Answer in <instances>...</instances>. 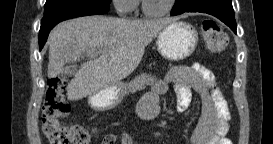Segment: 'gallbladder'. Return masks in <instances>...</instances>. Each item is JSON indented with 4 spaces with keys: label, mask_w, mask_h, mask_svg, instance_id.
<instances>
[{
    "label": "gallbladder",
    "mask_w": 273,
    "mask_h": 144,
    "mask_svg": "<svg viewBox=\"0 0 273 144\" xmlns=\"http://www.w3.org/2000/svg\"><path fill=\"white\" fill-rule=\"evenodd\" d=\"M78 71L79 70L76 65H69L68 70L63 73L65 75L63 78L67 80L69 78L68 76H76Z\"/></svg>",
    "instance_id": "bac80fb5"
}]
</instances>
